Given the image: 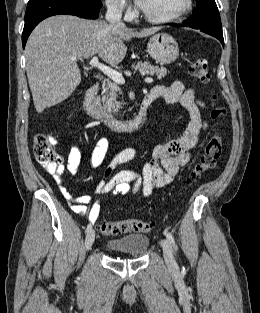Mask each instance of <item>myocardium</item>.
<instances>
[{"label":"myocardium","instance_id":"myocardium-1","mask_svg":"<svg viewBox=\"0 0 260 313\" xmlns=\"http://www.w3.org/2000/svg\"><path fill=\"white\" fill-rule=\"evenodd\" d=\"M192 6H193V0H185L183 7L179 11H177L173 15L166 16V17H154L148 14L147 12H145L141 7L139 9H140L141 16L148 22L156 23V24H166V23L176 22L179 19H181L184 15H186L192 9Z\"/></svg>","mask_w":260,"mask_h":313}]
</instances>
